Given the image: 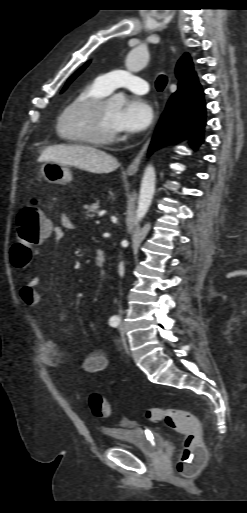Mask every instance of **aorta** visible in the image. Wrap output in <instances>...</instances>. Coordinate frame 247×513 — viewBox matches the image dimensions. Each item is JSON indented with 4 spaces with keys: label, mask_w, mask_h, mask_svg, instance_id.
<instances>
[{
    "label": "aorta",
    "mask_w": 247,
    "mask_h": 513,
    "mask_svg": "<svg viewBox=\"0 0 247 513\" xmlns=\"http://www.w3.org/2000/svg\"><path fill=\"white\" fill-rule=\"evenodd\" d=\"M149 53L144 45H140L132 49L126 58V67L131 72L142 70L148 63ZM111 105L122 107L125 103V97L122 94H115L110 99ZM156 171L153 165H148L144 170L140 193L138 199V207L136 212L137 220H141L149 210L155 194Z\"/></svg>",
    "instance_id": "aorta-1"
}]
</instances>
